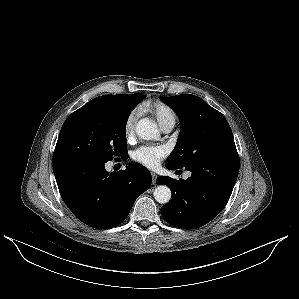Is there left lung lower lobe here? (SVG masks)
Returning <instances> with one entry per match:
<instances>
[{
    "instance_id": "0a47b994",
    "label": "left lung lower lobe",
    "mask_w": 299,
    "mask_h": 299,
    "mask_svg": "<svg viewBox=\"0 0 299 299\" xmlns=\"http://www.w3.org/2000/svg\"><path fill=\"white\" fill-rule=\"evenodd\" d=\"M186 170L192 172L186 180L157 178V184L167 185L172 190V200L161 208V214L175 227L196 229L214 219L226 206L239 173V156L237 151L218 154Z\"/></svg>"
}]
</instances>
